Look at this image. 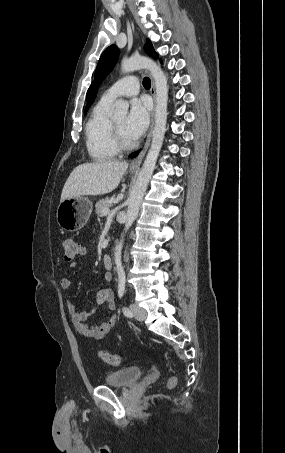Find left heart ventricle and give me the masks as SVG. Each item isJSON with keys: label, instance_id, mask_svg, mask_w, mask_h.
<instances>
[{"label": "left heart ventricle", "instance_id": "obj_1", "mask_svg": "<svg viewBox=\"0 0 285 453\" xmlns=\"http://www.w3.org/2000/svg\"><path fill=\"white\" fill-rule=\"evenodd\" d=\"M126 120H127V116L126 115H121V116H118L114 119L115 123L117 124V126L119 127L121 133L123 134V136L128 139V140H133V138H131L129 136V134L127 133V130H126Z\"/></svg>", "mask_w": 285, "mask_h": 453}]
</instances>
